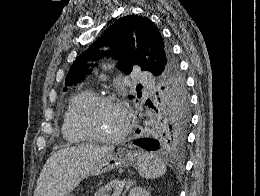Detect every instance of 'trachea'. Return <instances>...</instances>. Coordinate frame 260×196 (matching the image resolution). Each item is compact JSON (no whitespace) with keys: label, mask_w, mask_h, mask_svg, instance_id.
Returning <instances> with one entry per match:
<instances>
[{"label":"trachea","mask_w":260,"mask_h":196,"mask_svg":"<svg viewBox=\"0 0 260 196\" xmlns=\"http://www.w3.org/2000/svg\"><path fill=\"white\" fill-rule=\"evenodd\" d=\"M136 88H143V87H142V85H137V87H136Z\"/></svg>","instance_id":"trachea-1"}]
</instances>
